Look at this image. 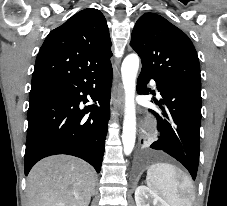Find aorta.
Returning <instances> with one entry per match:
<instances>
[{"label":"aorta","instance_id":"obj_1","mask_svg":"<svg viewBox=\"0 0 227 206\" xmlns=\"http://www.w3.org/2000/svg\"><path fill=\"white\" fill-rule=\"evenodd\" d=\"M138 69L139 57L135 53L128 55L121 66L122 82L125 91L122 142L126 155L131 154L136 139V105L134 99Z\"/></svg>","mask_w":227,"mask_h":206}]
</instances>
